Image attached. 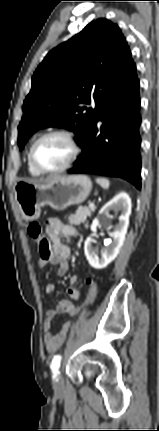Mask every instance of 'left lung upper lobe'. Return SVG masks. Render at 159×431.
Segmentation results:
<instances>
[{"instance_id":"1","label":"left lung upper lobe","mask_w":159,"mask_h":431,"mask_svg":"<svg viewBox=\"0 0 159 431\" xmlns=\"http://www.w3.org/2000/svg\"><path fill=\"white\" fill-rule=\"evenodd\" d=\"M133 63L130 49L116 24L98 19L52 49L32 77L23 104L18 144L40 128L73 131L80 144L99 106ZM95 104L87 108L86 104Z\"/></svg>"}]
</instances>
